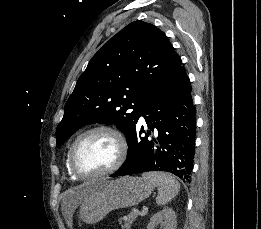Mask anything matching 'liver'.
<instances>
[{"instance_id": "obj_1", "label": "liver", "mask_w": 261, "mask_h": 229, "mask_svg": "<svg viewBox=\"0 0 261 229\" xmlns=\"http://www.w3.org/2000/svg\"><path fill=\"white\" fill-rule=\"evenodd\" d=\"M93 191L89 189V187H86V183L84 185H80V187H77L74 191V197L72 199V203H76V205H81L85 199H88L89 195H91Z\"/></svg>"}]
</instances>
